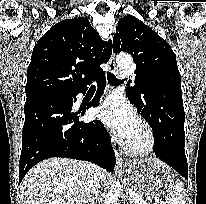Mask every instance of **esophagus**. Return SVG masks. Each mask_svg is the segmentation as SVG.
Returning <instances> with one entry per match:
<instances>
[{"mask_svg":"<svg viewBox=\"0 0 206 204\" xmlns=\"http://www.w3.org/2000/svg\"><path fill=\"white\" fill-rule=\"evenodd\" d=\"M109 71L112 73L117 72V67L115 63V54L112 52V55L109 60ZM115 156H116V166L117 168H122L124 166V159L121 151L113 145Z\"/></svg>","mask_w":206,"mask_h":204,"instance_id":"esophagus-1","label":"esophagus"}]
</instances>
